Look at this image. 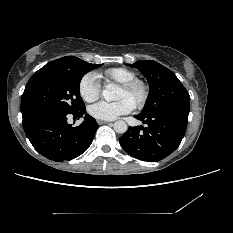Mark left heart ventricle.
<instances>
[{
	"label": "left heart ventricle",
	"mask_w": 233,
	"mask_h": 233,
	"mask_svg": "<svg viewBox=\"0 0 233 233\" xmlns=\"http://www.w3.org/2000/svg\"><path fill=\"white\" fill-rule=\"evenodd\" d=\"M123 98H127L130 101H132L134 103V97L132 95H130L129 93H127L123 88H119L116 99H123Z\"/></svg>",
	"instance_id": "left-heart-ventricle-1"
}]
</instances>
